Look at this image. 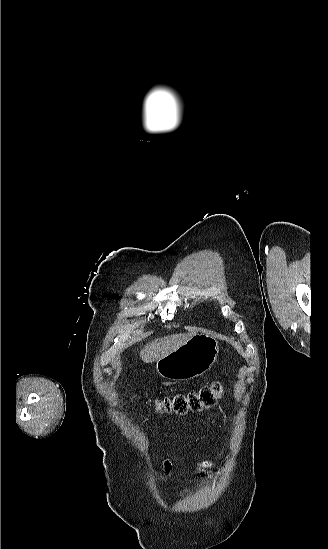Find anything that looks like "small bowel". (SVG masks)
<instances>
[{
	"label": "small bowel",
	"instance_id": "small-bowel-1",
	"mask_svg": "<svg viewBox=\"0 0 328 549\" xmlns=\"http://www.w3.org/2000/svg\"><path fill=\"white\" fill-rule=\"evenodd\" d=\"M202 464H197L196 467L199 468L201 467ZM162 468H163V471L166 473V474H169L172 472L173 468H174V462L168 458H165L162 462Z\"/></svg>",
	"mask_w": 328,
	"mask_h": 549
}]
</instances>
